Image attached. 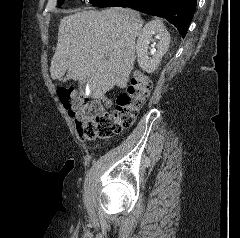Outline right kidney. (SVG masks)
<instances>
[{
	"instance_id": "obj_1",
	"label": "right kidney",
	"mask_w": 240,
	"mask_h": 238,
	"mask_svg": "<svg viewBox=\"0 0 240 238\" xmlns=\"http://www.w3.org/2000/svg\"><path fill=\"white\" fill-rule=\"evenodd\" d=\"M154 34H157L156 37L159 42L157 51L152 50V57H149L148 47L150 42L153 41ZM169 44L170 35L163 22L159 19L148 22L140 32L136 43L137 59L142 70L148 73L154 72L167 52Z\"/></svg>"
}]
</instances>
